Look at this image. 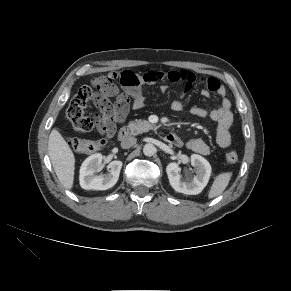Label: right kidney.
Here are the masks:
<instances>
[{"label":"right kidney","instance_id":"ca27d5eb","mask_svg":"<svg viewBox=\"0 0 291 291\" xmlns=\"http://www.w3.org/2000/svg\"><path fill=\"white\" fill-rule=\"evenodd\" d=\"M103 156L100 153L89 156L80 168V186L85 190H107L118 181L121 161H112L108 165V173L97 176L95 173L100 168Z\"/></svg>","mask_w":291,"mask_h":291}]
</instances>
